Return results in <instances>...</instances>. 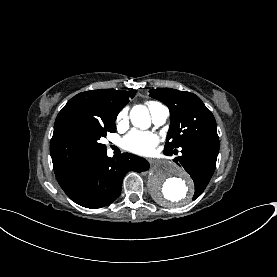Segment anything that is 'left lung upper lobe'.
I'll return each instance as SVG.
<instances>
[{
	"label": "left lung upper lobe",
	"mask_w": 277,
	"mask_h": 277,
	"mask_svg": "<svg viewBox=\"0 0 277 277\" xmlns=\"http://www.w3.org/2000/svg\"><path fill=\"white\" fill-rule=\"evenodd\" d=\"M149 93L170 110V128L164 149L166 155L193 141L219 138L213 114L197 95L171 88L152 89ZM194 198H197L195 194Z\"/></svg>",
	"instance_id": "left-lung-upper-lobe-1"
}]
</instances>
